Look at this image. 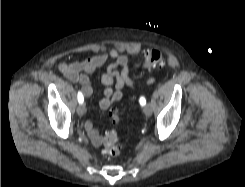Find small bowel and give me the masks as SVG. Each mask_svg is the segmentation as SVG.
Segmentation results:
<instances>
[{"label": "small bowel", "instance_id": "small-bowel-1", "mask_svg": "<svg viewBox=\"0 0 245 187\" xmlns=\"http://www.w3.org/2000/svg\"><path fill=\"white\" fill-rule=\"evenodd\" d=\"M108 60L112 63L101 75L103 84V97L99 101V107L103 110L108 109L112 104L121 101L125 97L123 88L131 90L136 88V82L130 76V70L133 60L130 56L119 52L117 49H111L108 52L94 55L88 59L79 62L59 64V71L71 82L81 85L82 93L85 97H90L93 88L89 80V75L96 69L105 65ZM154 78L146 80V85H151ZM85 129L90 137L92 144L99 147L103 143V137L96 130L92 120L85 122Z\"/></svg>", "mask_w": 245, "mask_h": 187}]
</instances>
